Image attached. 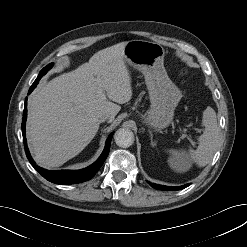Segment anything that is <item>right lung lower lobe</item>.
Segmentation results:
<instances>
[{
	"label": "right lung lower lobe",
	"mask_w": 247,
	"mask_h": 247,
	"mask_svg": "<svg viewBox=\"0 0 247 247\" xmlns=\"http://www.w3.org/2000/svg\"><path fill=\"white\" fill-rule=\"evenodd\" d=\"M39 80H35L32 86L29 89V94L34 90L35 86L38 84ZM27 117V98L25 100V107L23 112V118H22V134H23V141H24V147L26 156L29 159L32 166L48 181L61 184V185H67V184H76L81 183L90 180L100 169L104 161L106 160L109 150H110V143L112 140L113 133H111L106 141L105 149L101 156L97 159L95 163L90 165L89 167L81 170H57V171H49L46 169H43L41 167H38L35 162L33 161L26 142L25 137V122Z\"/></svg>",
	"instance_id": "right-lung-lower-lobe-1"
}]
</instances>
